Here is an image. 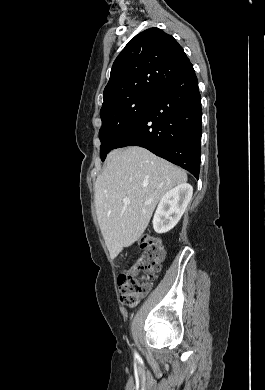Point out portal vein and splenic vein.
Masks as SVG:
<instances>
[{
	"instance_id": "portal-vein-and-splenic-vein-1",
	"label": "portal vein and splenic vein",
	"mask_w": 265,
	"mask_h": 390,
	"mask_svg": "<svg viewBox=\"0 0 265 390\" xmlns=\"http://www.w3.org/2000/svg\"><path fill=\"white\" fill-rule=\"evenodd\" d=\"M123 203H124L125 205H128V204H130V200H129L128 198H124V199H123Z\"/></svg>"
}]
</instances>
